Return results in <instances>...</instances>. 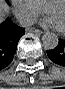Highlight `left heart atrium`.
I'll use <instances>...</instances> for the list:
<instances>
[{
	"instance_id": "1",
	"label": "left heart atrium",
	"mask_w": 65,
	"mask_h": 89,
	"mask_svg": "<svg viewBox=\"0 0 65 89\" xmlns=\"http://www.w3.org/2000/svg\"><path fill=\"white\" fill-rule=\"evenodd\" d=\"M41 25H43L44 27L55 29V30H61L62 29L61 24L58 22V20L52 16L43 19L41 21Z\"/></svg>"
}]
</instances>
